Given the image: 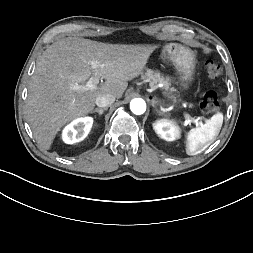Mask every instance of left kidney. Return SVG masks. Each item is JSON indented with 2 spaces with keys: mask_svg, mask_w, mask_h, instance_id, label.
I'll use <instances>...</instances> for the list:
<instances>
[{
  "mask_svg": "<svg viewBox=\"0 0 253 253\" xmlns=\"http://www.w3.org/2000/svg\"><path fill=\"white\" fill-rule=\"evenodd\" d=\"M155 132L166 141H173L179 136V128L166 119H161L153 124Z\"/></svg>",
  "mask_w": 253,
  "mask_h": 253,
  "instance_id": "obj_1",
  "label": "left kidney"
}]
</instances>
